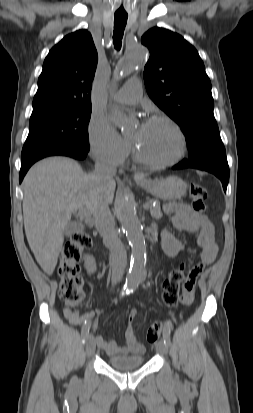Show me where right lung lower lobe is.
I'll list each match as a JSON object with an SVG mask.
<instances>
[{
	"label": "right lung lower lobe",
	"mask_w": 253,
	"mask_h": 413,
	"mask_svg": "<svg viewBox=\"0 0 253 413\" xmlns=\"http://www.w3.org/2000/svg\"><path fill=\"white\" fill-rule=\"evenodd\" d=\"M87 153L88 151H84L80 149L65 148V149H56L52 151H47V152L23 157L21 159V170H20L19 182L20 183L22 182L30 166L42 158H45L48 156H54V155H63V156H69L75 159L82 160L86 158Z\"/></svg>",
	"instance_id": "98d812e1"
}]
</instances>
